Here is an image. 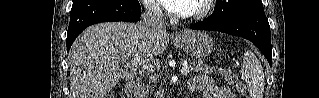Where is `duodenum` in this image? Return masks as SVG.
Here are the masks:
<instances>
[{"label":"duodenum","mask_w":319,"mask_h":98,"mask_svg":"<svg viewBox=\"0 0 319 98\" xmlns=\"http://www.w3.org/2000/svg\"><path fill=\"white\" fill-rule=\"evenodd\" d=\"M141 83L139 80H130L126 85V94L128 98H142Z\"/></svg>","instance_id":"obj_1"}]
</instances>
